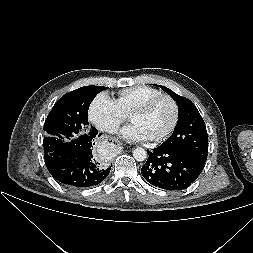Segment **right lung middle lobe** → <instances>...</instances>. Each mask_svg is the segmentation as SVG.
Returning <instances> with one entry per match:
<instances>
[{
    "label": "right lung middle lobe",
    "instance_id": "obj_1",
    "mask_svg": "<svg viewBox=\"0 0 253 253\" xmlns=\"http://www.w3.org/2000/svg\"><path fill=\"white\" fill-rule=\"evenodd\" d=\"M106 89L103 86H84L62 96L45 121L44 147L58 140L71 141L89 134L93 129L88 124L89 106L95 96Z\"/></svg>",
    "mask_w": 253,
    "mask_h": 253
}]
</instances>
